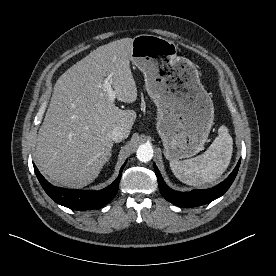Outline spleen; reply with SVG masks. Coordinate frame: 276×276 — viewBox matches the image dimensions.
I'll use <instances>...</instances> for the list:
<instances>
[{
  "instance_id": "obj_1",
  "label": "spleen",
  "mask_w": 276,
  "mask_h": 276,
  "mask_svg": "<svg viewBox=\"0 0 276 276\" xmlns=\"http://www.w3.org/2000/svg\"><path fill=\"white\" fill-rule=\"evenodd\" d=\"M233 151V139L226 126H221L218 136L201 155L183 161H170L174 175L183 183L198 186L218 179L227 169Z\"/></svg>"
}]
</instances>
